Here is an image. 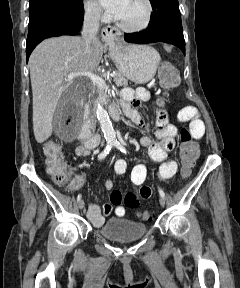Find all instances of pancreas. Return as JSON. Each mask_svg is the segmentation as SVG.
Masks as SVG:
<instances>
[{
  "instance_id": "pancreas-1",
  "label": "pancreas",
  "mask_w": 240,
  "mask_h": 288,
  "mask_svg": "<svg viewBox=\"0 0 240 288\" xmlns=\"http://www.w3.org/2000/svg\"><path fill=\"white\" fill-rule=\"evenodd\" d=\"M114 81L117 86L126 87L128 85V80L120 72L117 71L114 72ZM91 88L93 93L98 95V99L102 103H108L109 93L105 88L93 84H91ZM88 105H90V102H88Z\"/></svg>"
}]
</instances>
